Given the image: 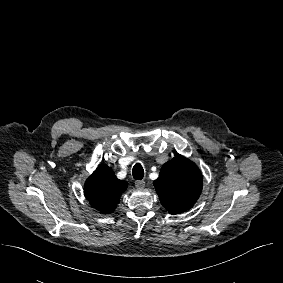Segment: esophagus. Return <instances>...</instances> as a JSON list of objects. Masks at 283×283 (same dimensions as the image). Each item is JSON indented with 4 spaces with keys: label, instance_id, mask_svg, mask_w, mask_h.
<instances>
[{
    "label": "esophagus",
    "instance_id": "1",
    "mask_svg": "<svg viewBox=\"0 0 283 283\" xmlns=\"http://www.w3.org/2000/svg\"><path fill=\"white\" fill-rule=\"evenodd\" d=\"M135 186L137 188H144L145 187V181H143V180H136L135 181Z\"/></svg>",
    "mask_w": 283,
    "mask_h": 283
}]
</instances>
